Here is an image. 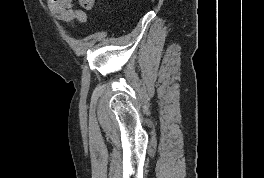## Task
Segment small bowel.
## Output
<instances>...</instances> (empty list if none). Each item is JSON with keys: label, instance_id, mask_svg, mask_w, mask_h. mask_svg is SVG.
I'll return each instance as SVG.
<instances>
[{"label": "small bowel", "instance_id": "obj_1", "mask_svg": "<svg viewBox=\"0 0 264 178\" xmlns=\"http://www.w3.org/2000/svg\"><path fill=\"white\" fill-rule=\"evenodd\" d=\"M49 6L50 11L52 14L59 20L72 24L75 22L78 23H85L87 21V14L82 9L75 8V3L73 0H46ZM79 4L80 3V0ZM93 6V3H92ZM84 8L82 5L81 7L84 9H90Z\"/></svg>", "mask_w": 264, "mask_h": 178}]
</instances>
